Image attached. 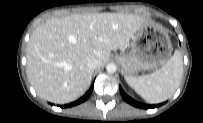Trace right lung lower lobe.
I'll return each mask as SVG.
<instances>
[{
    "instance_id": "right-lung-lower-lobe-1",
    "label": "right lung lower lobe",
    "mask_w": 203,
    "mask_h": 123,
    "mask_svg": "<svg viewBox=\"0 0 203 123\" xmlns=\"http://www.w3.org/2000/svg\"><path fill=\"white\" fill-rule=\"evenodd\" d=\"M92 90H93V85L90 87V89L86 92V94L83 97H81L79 100H77V101H75L73 103L64 105V107H72V106H75V105H78V104L84 102L85 100H87L89 98V96L91 95Z\"/></svg>"
}]
</instances>
